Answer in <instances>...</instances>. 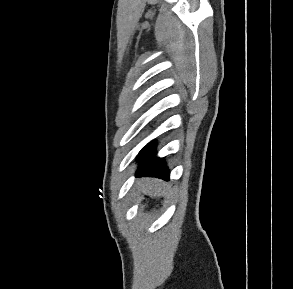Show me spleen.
Masks as SVG:
<instances>
[{
  "instance_id": "spleen-1",
  "label": "spleen",
  "mask_w": 293,
  "mask_h": 289,
  "mask_svg": "<svg viewBox=\"0 0 293 289\" xmlns=\"http://www.w3.org/2000/svg\"><path fill=\"white\" fill-rule=\"evenodd\" d=\"M143 193L151 197L166 196L171 193V188L159 180L146 179L139 183Z\"/></svg>"
}]
</instances>
